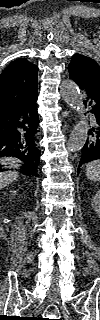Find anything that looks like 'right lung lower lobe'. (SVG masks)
<instances>
[{
  "mask_svg": "<svg viewBox=\"0 0 100 320\" xmlns=\"http://www.w3.org/2000/svg\"><path fill=\"white\" fill-rule=\"evenodd\" d=\"M37 91L25 99L0 106V157H16L24 162L20 172L36 176L40 150Z\"/></svg>",
  "mask_w": 100,
  "mask_h": 320,
  "instance_id": "1",
  "label": "right lung lower lobe"
}]
</instances>
